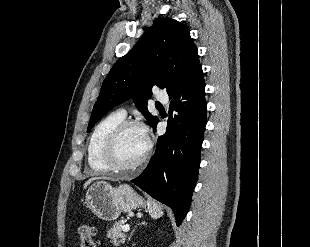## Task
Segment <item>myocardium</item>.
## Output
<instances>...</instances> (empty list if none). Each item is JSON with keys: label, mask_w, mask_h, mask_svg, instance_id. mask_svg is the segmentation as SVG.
I'll use <instances>...</instances> for the list:
<instances>
[{"label": "myocardium", "mask_w": 310, "mask_h": 247, "mask_svg": "<svg viewBox=\"0 0 310 247\" xmlns=\"http://www.w3.org/2000/svg\"><path fill=\"white\" fill-rule=\"evenodd\" d=\"M129 128L141 129L146 135L147 145L145 152L138 161H136L131 165H121L117 162L116 159V153H115L116 144L121 134ZM151 150H152V142L148 135L146 127L139 121L123 120L119 124H117L106 137L102 147L101 157L104 164L109 169V171L115 173L131 172L141 168L144 165V163L150 156Z\"/></svg>", "instance_id": "1"}]
</instances>
